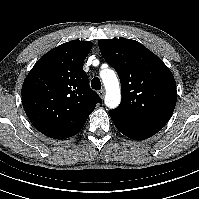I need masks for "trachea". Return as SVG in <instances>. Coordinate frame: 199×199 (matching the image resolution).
<instances>
[{
	"label": "trachea",
	"mask_w": 199,
	"mask_h": 199,
	"mask_svg": "<svg viewBox=\"0 0 199 199\" xmlns=\"http://www.w3.org/2000/svg\"><path fill=\"white\" fill-rule=\"evenodd\" d=\"M91 87L95 90L101 89V81L98 77H94L91 81Z\"/></svg>",
	"instance_id": "obj_1"
}]
</instances>
